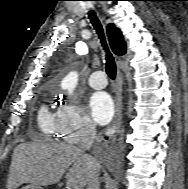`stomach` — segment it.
I'll list each match as a JSON object with an SVG mask.
<instances>
[{
    "instance_id": "1",
    "label": "stomach",
    "mask_w": 188,
    "mask_h": 189,
    "mask_svg": "<svg viewBox=\"0 0 188 189\" xmlns=\"http://www.w3.org/2000/svg\"><path fill=\"white\" fill-rule=\"evenodd\" d=\"M21 189H40V188H38L35 185L30 184V185L23 186Z\"/></svg>"
}]
</instances>
